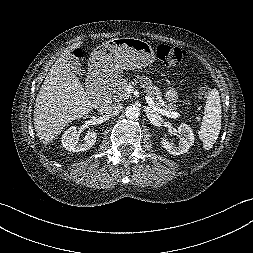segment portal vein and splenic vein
Returning a JSON list of instances; mask_svg holds the SVG:
<instances>
[{
  "label": "portal vein and splenic vein",
  "instance_id": "18ae733b",
  "mask_svg": "<svg viewBox=\"0 0 253 253\" xmlns=\"http://www.w3.org/2000/svg\"><path fill=\"white\" fill-rule=\"evenodd\" d=\"M131 88H132V86H128L127 90H131ZM145 100H146V102L148 103V105H149L153 110L157 111L158 113H160V114H162V115H165V116H167V117H171V118H174V119H176V118H178V117L181 116V115H180L179 113H177V112L166 111V110H164V109L158 107V106L154 103V101L152 100V98H151L150 96H148V95L145 97Z\"/></svg>",
  "mask_w": 253,
  "mask_h": 253
}]
</instances>
